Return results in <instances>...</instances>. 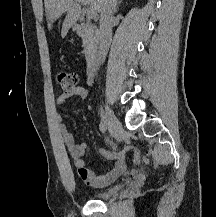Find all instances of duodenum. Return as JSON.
Returning a JSON list of instances; mask_svg holds the SVG:
<instances>
[{"label":"duodenum","mask_w":216,"mask_h":217,"mask_svg":"<svg viewBox=\"0 0 216 217\" xmlns=\"http://www.w3.org/2000/svg\"><path fill=\"white\" fill-rule=\"evenodd\" d=\"M74 29L77 33H82L83 28L81 24L76 23L74 25ZM88 74L89 76H93L98 70L101 61H102V47L96 46L93 48L91 52L88 53Z\"/></svg>","instance_id":"obj_1"}]
</instances>
